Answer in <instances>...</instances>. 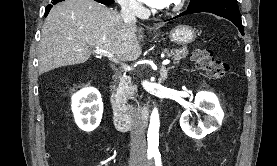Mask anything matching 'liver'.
I'll return each mask as SVG.
<instances>
[{
    "instance_id": "6515ba94",
    "label": "liver",
    "mask_w": 277,
    "mask_h": 166,
    "mask_svg": "<svg viewBox=\"0 0 277 166\" xmlns=\"http://www.w3.org/2000/svg\"><path fill=\"white\" fill-rule=\"evenodd\" d=\"M141 33L135 23H125L117 11L94 0L58 3L42 28L39 74L86 62L91 47L110 52L115 63L136 60L142 53Z\"/></svg>"
}]
</instances>
